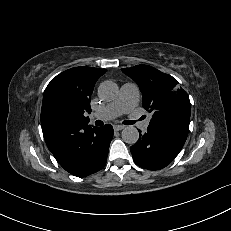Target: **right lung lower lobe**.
<instances>
[{
	"label": "right lung lower lobe",
	"mask_w": 231,
	"mask_h": 231,
	"mask_svg": "<svg viewBox=\"0 0 231 231\" xmlns=\"http://www.w3.org/2000/svg\"><path fill=\"white\" fill-rule=\"evenodd\" d=\"M112 137L113 128L110 124L93 128L86 125L74 130L69 144L52 153L67 172L85 177L105 166Z\"/></svg>",
	"instance_id": "right-lung-lower-lobe-1"
}]
</instances>
